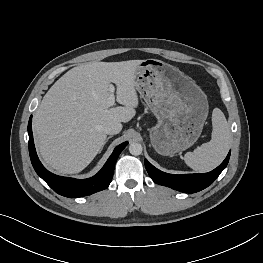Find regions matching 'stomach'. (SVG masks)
<instances>
[{
	"label": "stomach",
	"instance_id": "obj_1",
	"mask_svg": "<svg viewBox=\"0 0 263 263\" xmlns=\"http://www.w3.org/2000/svg\"><path fill=\"white\" fill-rule=\"evenodd\" d=\"M135 83L158 121L150 130L156 152L171 156L191 147L208 116V100L202 89L177 67L157 59L138 64Z\"/></svg>",
	"mask_w": 263,
	"mask_h": 263
}]
</instances>
